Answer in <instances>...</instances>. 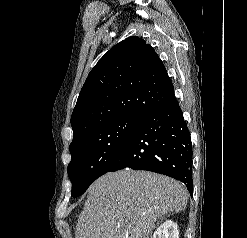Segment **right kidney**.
I'll return each instance as SVG.
<instances>
[{"label":"right kidney","instance_id":"right-kidney-1","mask_svg":"<svg viewBox=\"0 0 247 238\" xmlns=\"http://www.w3.org/2000/svg\"><path fill=\"white\" fill-rule=\"evenodd\" d=\"M152 238H179L177 223L167 220L157 228Z\"/></svg>","mask_w":247,"mask_h":238}]
</instances>
